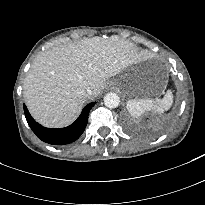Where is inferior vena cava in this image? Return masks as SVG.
Masks as SVG:
<instances>
[{"label":"inferior vena cava","instance_id":"inferior-vena-cava-1","mask_svg":"<svg viewBox=\"0 0 205 205\" xmlns=\"http://www.w3.org/2000/svg\"><path fill=\"white\" fill-rule=\"evenodd\" d=\"M86 93H87L88 95H91V94H92V89H91L90 87H88V88L86 89Z\"/></svg>","mask_w":205,"mask_h":205}]
</instances>
